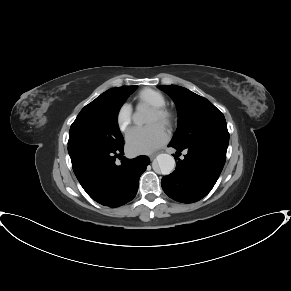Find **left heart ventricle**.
I'll return each instance as SVG.
<instances>
[{"label": "left heart ventricle", "instance_id": "obj_1", "mask_svg": "<svg viewBox=\"0 0 291 291\" xmlns=\"http://www.w3.org/2000/svg\"><path fill=\"white\" fill-rule=\"evenodd\" d=\"M155 123H160V122H159L157 114L151 110L148 116L147 124L151 125Z\"/></svg>", "mask_w": 291, "mask_h": 291}]
</instances>
